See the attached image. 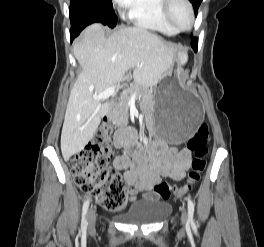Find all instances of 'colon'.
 <instances>
[{"label":"colon","instance_id":"obj_1","mask_svg":"<svg viewBox=\"0 0 264 247\" xmlns=\"http://www.w3.org/2000/svg\"><path fill=\"white\" fill-rule=\"evenodd\" d=\"M112 124L104 121L96 130L90 143L70 160L71 174L75 184L97 204L109 211L120 212L126 208V187L122 176L109 167L112 157ZM208 126L202 124L190 138L187 147L194 153L187 183L181 188H172L166 182L154 187L158 197L168 199L171 195L188 193L199 181L206 167Z\"/></svg>","mask_w":264,"mask_h":247}]
</instances>
